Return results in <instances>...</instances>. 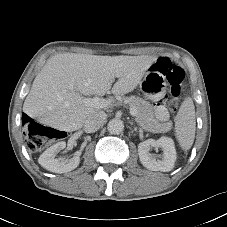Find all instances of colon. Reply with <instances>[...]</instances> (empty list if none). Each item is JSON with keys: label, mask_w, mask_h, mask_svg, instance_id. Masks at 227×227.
<instances>
[{"label": "colon", "mask_w": 227, "mask_h": 227, "mask_svg": "<svg viewBox=\"0 0 227 227\" xmlns=\"http://www.w3.org/2000/svg\"><path fill=\"white\" fill-rule=\"evenodd\" d=\"M153 70L164 75L170 83V92L172 96L170 100L172 103L171 110L175 111L178 105V97L181 92V85L185 78L184 69L173 64L169 58L160 57L153 65ZM25 129L28 134V146L32 150L42 149L47 138L56 137L55 130L44 127L32 120H27L25 122Z\"/></svg>", "instance_id": "obj_1"}]
</instances>
